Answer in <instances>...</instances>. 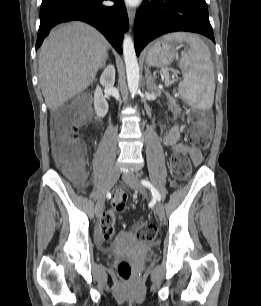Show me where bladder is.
Instances as JSON below:
<instances>
[{
    "instance_id": "31cf9c89",
    "label": "bladder",
    "mask_w": 261,
    "mask_h": 306,
    "mask_svg": "<svg viewBox=\"0 0 261 306\" xmlns=\"http://www.w3.org/2000/svg\"><path fill=\"white\" fill-rule=\"evenodd\" d=\"M131 235L127 232H121L119 235H118V239H117V250L118 251H123L125 252L126 251V248L128 247L129 245V240L131 239Z\"/></svg>"
}]
</instances>
